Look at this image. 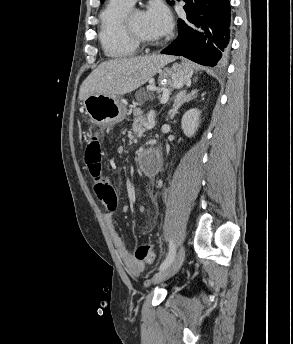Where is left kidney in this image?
Returning <instances> with one entry per match:
<instances>
[{
    "label": "left kidney",
    "mask_w": 293,
    "mask_h": 344,
    "mask_svg": "<svg viewBox=\"0 0 293 344\" xmlns=\"http://www.w3.org/2000/svg\"><path fill=\"white\" fill-rule=\"evenodd\" d=\"M201 111L198 109H190L182 117L181 128L187 137H192L197 131L200 121Z\"/></svg>",
    "instance_id": "left-kidney-1"
}]
</instances>
